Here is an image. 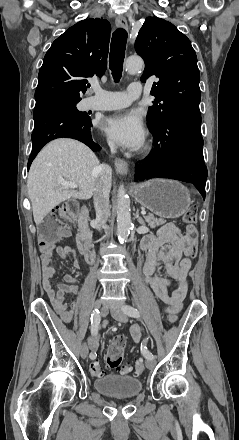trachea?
<instances>
[{
    "label": "trachea",
    "mask_w": 239,
    "mask_h": 440,
    "mask_svg": "<svg viewBox=\"0 0 239 440\" xmlns=\"http://www.w3.org/2000/svg\"><path fill=\"white\" fill-rule=\"evenodd\" d=\"M128 34L123 28H118L112 35L109 54V68L114 81L121 79Z\"/></svg>",
    "instance_id": "3493384b"
}]
</instances>
